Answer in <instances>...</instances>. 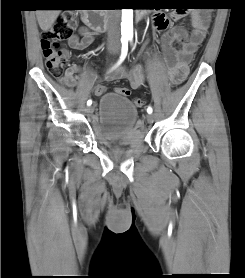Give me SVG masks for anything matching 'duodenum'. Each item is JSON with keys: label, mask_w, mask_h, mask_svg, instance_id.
Segmentation results:
<instances>
[{"label": "duodenum", "mask_w": 245, "mask_h": 278, "mask_svg": "<svg viewBox=\"0 0 245 278\" xmlns=\"http://www.w3.org/2000/svg\"><path fill=\"white\" fill-rule=\"evenodd\" d=\"M137 20H142L145 17V12L142 9H138L136 12ZM83 22L93 30L97 32H103L106 30V20L98 11L88 10L82 14Z\"/></svg>", "instance_id": "410a0bca"}]
</instances>
